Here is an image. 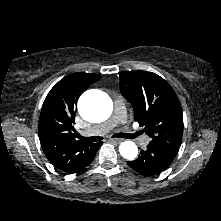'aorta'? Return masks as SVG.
<instances>
[{
	"instance_id": "762f6f07",
	"label": "aorta",
	"mask_w": 221,
	"mask_h": 221,
	"mask_svg": "<svg viewBox=\"0 0 221 221\" xmlns=\"http://www.w3.org/2000/svg\"><path fill=\"white\" fill-rule=\"evenodd\" d=\"M78 111L89 122L103 121L110 116L112 103L107 95L89 91L80 97ZM119 152L122 157L133 160L138 154V148L134 142L124 141L119 146Z\"/></svg>"
}]
</instances>
